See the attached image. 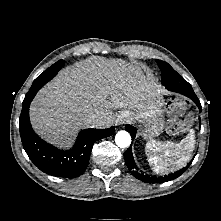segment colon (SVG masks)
I'll use <instances>...</instances> for the list:
<instances>
[{"label":"colon","instance_id":"5ec220e1","mask_svg":"<svg viewBox=\"0 0 221 221\" xmlns=\"http://www.w3.org/2000/svg\"><path fill=\"white\" fill-rule=\"evenodd\" d=\"M186 109L187 103L184 100L177 99L173 101L170 107L169 132L178 133L187 126L188 120L184 116Z\"/></svg>","mask_w":221,"mask_h":221}]
</instances>
